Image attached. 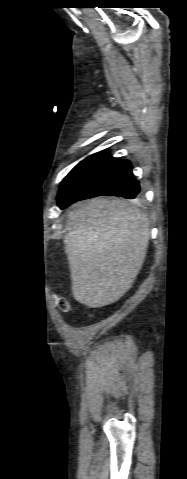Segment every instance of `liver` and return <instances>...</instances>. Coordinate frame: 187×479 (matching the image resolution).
I'll list each match as a JSON object with an SVG mask.
<instances>
[{"instance_id": "1", "label": "liver", "mask_w": 187, "mask_h": 479, "mask_svg": "<svg viewBox=\"0 0 187 479\" xmlns=\"http://www.w3.org/2000/svg\"><path fill=\"white\" fill-rule=\"evenodd\" d=\"M64 237L76 301L100 308L134 283L149 243L147 218L131 202L96 198L67 214Z\"/></svg>"}]
</instances>
